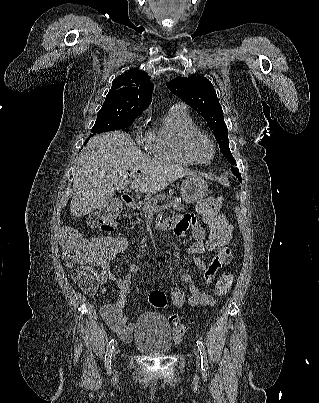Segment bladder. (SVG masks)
I'll list each match as a JSON object with an SVG mask.
<instances>
[{
	"label": "bladder",
	"instance_id": "1",
	"mask_svg": "<svg viewBox=\"0 0 319 403\" xmlns=\"http://www.w3.org/2000/svg\"><path fill=\"white\" fill-rule=\"evenodd\" d=\"M131 343L144 355L168 354L173 347L168 319L158 312H143L135 322V332Z\"/></svg>",
	"mask_w": 319,
	"mask_h": 403
}]
</instances>
